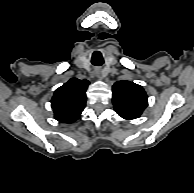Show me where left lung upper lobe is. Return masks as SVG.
Segmentation results:
<instances>
[{"label": "left lung upper lobe", "mask_w": 194, "mask_h": 193, "mask_svg": "<svg viewBox=\"0 0 194 193\" xmlns=\"http://www.w3.org/2000/svg\"><path fill=\"white\" fill-rule=\"evenodd\" d=\"M115 111L124 119L138 118L148 105L144 89L130 81H119L113 85Z\"/></svg>", "instance_id": "5c2ea615"}]
</instances>
